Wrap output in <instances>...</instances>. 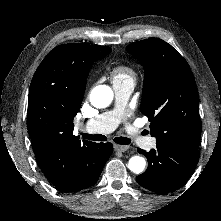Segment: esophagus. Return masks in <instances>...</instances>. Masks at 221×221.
Returning a JSON list of instances; mask_svg holds the SVG:
<instances>
[{
  "mask_svg": "<svg viewBox=\"0 0 221 221\" xmlns=\"http://www.w3.org/2000/svg\"><path fill=\"white\" fill-rule=\"evenodd\" d=\"M114 149H115V151L125 152L129 149V147L125 146V145L114 144Z\"/></svg>",
  "mask_w": 221,
  "mask_h": 221,
  "instance_id": "obj_1",
  "label": "esophagus"
}]
</instances>
